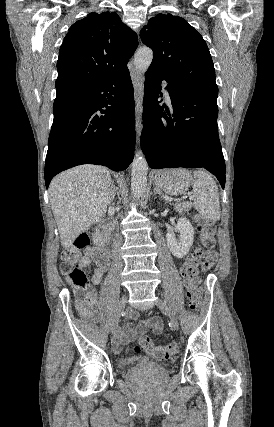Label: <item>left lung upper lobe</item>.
Wrapping results in <instances>:
<instances>
[{"label": "left lung upper lobe", "instance_id": "5c2ea615", "mask_svg": "<svg viewBox=\"0 0 274 427\" xmlns=\"http://www.w3.org/2000/svg\"><path fill=\"white\" fill-rule=\"evenodd\" d=\"M140 37L153 50L149 69L183 86L218 94L206 42L183 18L159 13L142 28Z\"/></svg>", "mask_w": 274, "mask_h": 427}]
</instances>
